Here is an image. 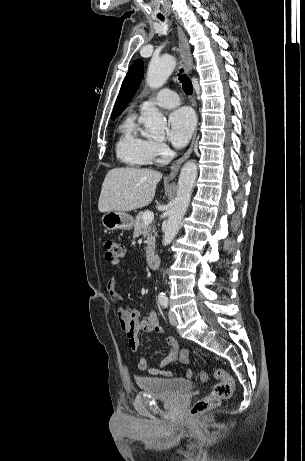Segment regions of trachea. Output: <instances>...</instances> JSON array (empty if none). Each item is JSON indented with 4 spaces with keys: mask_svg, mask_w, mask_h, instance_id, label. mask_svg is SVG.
I'll list each match as a JSON object with an SVG mask.
<instances>
[{
    "mask_svg": "<svg viewBox=\"0 0 305 461\" xmlns=\"http://www.w3.org/2000/svg\"><path fill=\"white\" fill-rule=\"evenodd\" d=\"M163 20V18H161ZM182 70L180 71V81L182 82L183 90L186 94H192L193 92V86L189 78L185 77L182 74Z\"/></svg>",
    "mask_w": 305,
    "mask_h": 461,
    "instance_id": "3493384b",
    "label": "trachea"
}]
</instances>
